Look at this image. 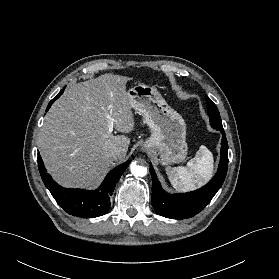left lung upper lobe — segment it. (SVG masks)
<instances>
[{
    "instance_id": "5c2ea615",
    "label": "left lung upper lobe",
    "mask_w": 279,
    "mask_h": 279,
    "mask_svg": "<svg viewBox=\"0 0 279 279\" xmlns=\"http://www.w3.org/2000/svg\"><path fill=\"white\" fill-rule=\"evenodd\" d=\"M206 101L211 126L217 130L223 129L220 113L216 105L208 97L206 98Z\"/></svg>"
}]
</instances>
